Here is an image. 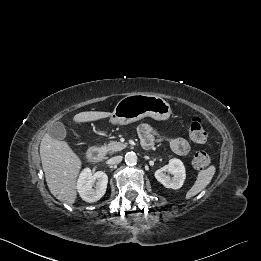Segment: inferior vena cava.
<instances>
[{
    "label": "inferior vena cava",
    "instance_id": "602c4592",
    "mask_svg": "<svg viewBox=\"0 0 261 261\" xmlns=\"http://www.w3.org/2000/svg\"><path fill=\"white\" fill-rule=\"evenodd\" d=\"M122 156H115V157H112L111 159H109V164L111 165H115V164H118L122 161Z\"/></svg>",
    "mask_w": 261,
    "mask_h": 261
}]
</instances>
